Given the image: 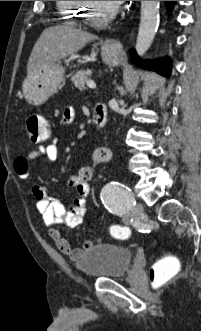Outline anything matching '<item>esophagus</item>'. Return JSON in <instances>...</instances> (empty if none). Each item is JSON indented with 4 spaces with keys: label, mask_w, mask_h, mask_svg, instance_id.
<instances>
[{
    "label": "esophagus",
    "mask_w": 201,
    "mask_h": 331,
    "mask_svg": "<svg viewBox=\"0 0 201 331\" xmlns=\"http://www.w3.org/2000/svg\"><path fill=\"white\" fill-rule=\"evenodd\" d=\"M105 46L111 50V51H115V52H121L123 50L122 44L115 39H108L105 41Z\"/></svg>",
    "instance_id": "34e87169"
}]
</instances>
